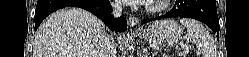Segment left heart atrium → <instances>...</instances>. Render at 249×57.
<instances>
[{"mask_svg": "<svg viewBox=\"0 0 249 57\" xmlns=\"http://www.w3.org/2000/svg\"><path fill=\"white\" fill-rule=\"evenodd\" d=\"M128 2L134 3V4H147V3H150L151 0H128Z\"/></svg>", "mask_w": 249, "mask_h": 57, "instance_id": "39dd6f15", "label": "left heart atrium"}]
</instances>
